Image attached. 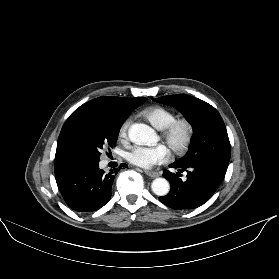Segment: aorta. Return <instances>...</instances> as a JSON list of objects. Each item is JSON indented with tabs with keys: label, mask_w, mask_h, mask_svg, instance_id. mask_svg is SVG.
<instances>
[{
	"label": "aorta",
	"mask_w": 279,
	"mask_h": 279,
	"mask_svg": "<svg viewBox=\"0 0 279 279\" xmlns=\"http://www.w3.org/2000/svg\"><path fill=\"white\" fill-rule=\"evenodd\" d=\"M130 140L137 144H152L156 141L155 131L148 125L139 123L133 124L128 130ZM152 191L158 196L168 194L170 184L165 178H156L151 185Z\"/></svg>",
	"instance_id": "aorta-1"
}]
</instances>
